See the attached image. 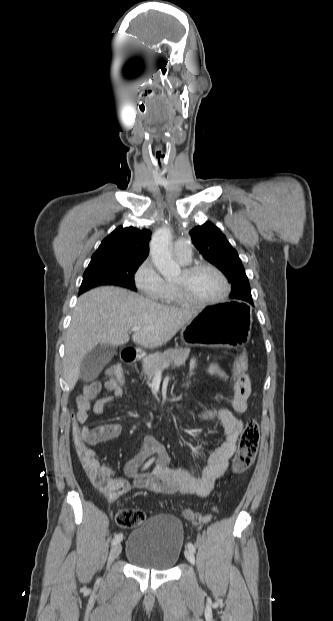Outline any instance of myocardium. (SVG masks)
Segmentation results:
<instances>
[{"instance_id":"myocardium-1","label":"myocardium","mask_w":333,"mask_h":621,"mask_svg":"<svg viewBox=\"0 0 333 621\" xmlns=\"http://www.w3.org/2000/svg\"><path fill=\"white\" fill-rule=\"evenodd\" d=\"M201 270H211L221 278L224 284V290L222 294L214 299H208V300L196 299L189 293L185 284L175 282L174 286H175L178 296L182 299L184 303H187L190 305H198V306L214 305V304H218V303L225 301L231 292V284L227 276L224 274V272L221 269H219L217 266L213 264L206 263V262L195 263L183 269L184 273L187 276H191Z\"/></svg>"}]
</instances>
